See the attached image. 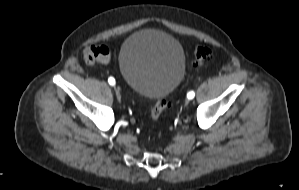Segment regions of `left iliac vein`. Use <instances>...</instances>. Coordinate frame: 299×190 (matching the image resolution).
Wrapping results in <instances>:
<instances>
[{"label":"left iliac vein","mask_w":299,"mask_h":190,"mask_svg":"<svg viewBox=\"0 0 299 190\" xmlns=\"http://www.w3.org/2000/svg\"><path fill=\"white\" fill-rule=\"evenodd\" d=\"M186 103H189V100H188V99L186 100Z\"/></svg>","instance_id":"4c4485c4"}]
</instances>
